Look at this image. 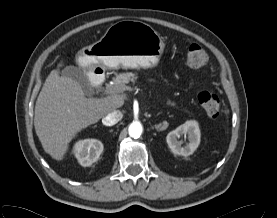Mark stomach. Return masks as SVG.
<instances>
[{"mask_svg":"<svg viewBox=\"0 0 277 218\" xmlns=\"http://www.w3.org/2000/svg\"><path fill=\"white\" fill-rule=\"evenodd\" d=\"M165 44L150 25L136 20H122L111 25L104 36L82 48L76 62L83 68L138 69L157 66Z\"/></svg>","mask_w":277,"mask_h":218,"instance_id":"1","label":"stomach"}]
</instances>
